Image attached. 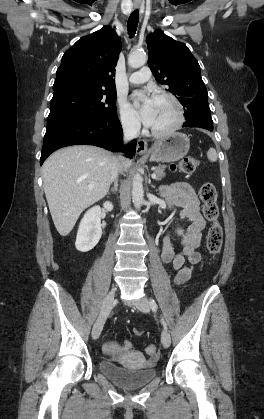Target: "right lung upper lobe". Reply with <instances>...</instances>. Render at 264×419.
Wrapping results in <instances>:
<instances>
[{
  "instance_id": "right-lung-upper-lobe-1",
  "label": "right lung upper lobe",
  "mask_w": 264,
  "mask_h": 419,
  "mask_svg": "<svg viewBox=\"0 0 264 419\" xmlns=\"http://www.w3.org/2000/svg\"><path fill=\"white\" fill-rule=\"evenodd\" d=\"M120 51V37L108 26L82 37L64 53L53 90L82 85L116 91L113 77Z\"/></svg>"
}]
</instances>
